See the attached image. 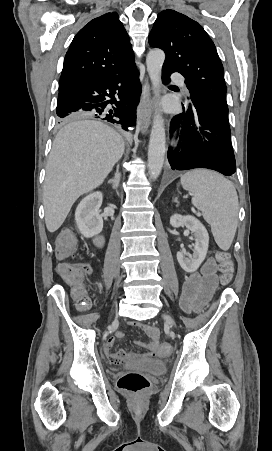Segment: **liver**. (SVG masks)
Returning <instances> with one entry per match:
<instances>
[{"mask_svg": "<svg viewBox=\"0 0 272 451\" xmlns=\"http://www.w3.org/2000/svg\"><path fill=\"white\" fill-rule=\"evenodd\" d=\"M122 136L97 120L74 118L59 130L46 166L43 204L48 231H56L82 194L103 184L122 158Z\"/></svg>", "mask_w": 272, "mask_h": 451, "instance_id": "1", "label": "liver"}]
</instances>
